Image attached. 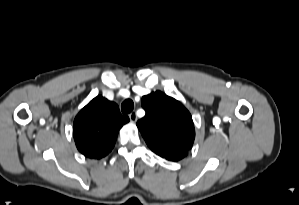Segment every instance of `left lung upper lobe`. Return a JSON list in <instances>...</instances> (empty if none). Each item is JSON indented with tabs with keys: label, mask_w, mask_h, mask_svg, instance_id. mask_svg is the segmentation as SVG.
Here are the masks:
<instances>
[{
	"label": "left lung upper lobe",
	"mask_w": 299,
	"mask_h": 205,
	"mask_svg": "<svg viewBox=\"0 0 299 205\" xmlns=\"http://www.w3.org/2000/svg\"><path fill=\"white\" fill-rule=\"evenodd\" d=\"M145 116L137 122L147 145L156 154L167 150H189L195 129L189 111L177 100L161 91L143 96Z\"/></svg>",
	"instance_id": "5c2ea615"
}]
</instances>
